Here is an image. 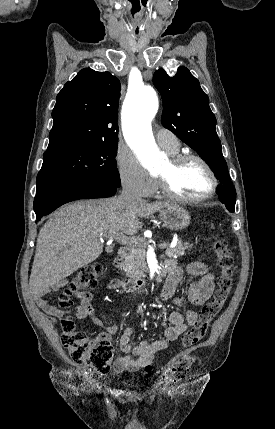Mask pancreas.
I'll return each mask as SVG.
<instances>
[{"label":"pancreas","mask_w":275,"mask_h":429,"mask_svg":"<svg viewBox=\"0 0 275 429\" xmlns=\"http://www.w3.org/2000/svg\"><path fill=\"white\" fill-rule=\"evenodd\" d=\"M192 246L193 244H189L188 242L183 243L182 240H178L174 247H170L167 244L165 255L169 258L182 256L185 254V250L191 249ZM146 248L147 244L142 240L134 246L133 251H131L126 257V261L123 265H125V272L128 277L134 279L144 276V272L147 271Z\"/></svg>","instance_id":"pancreas-1"}]
</instances>
